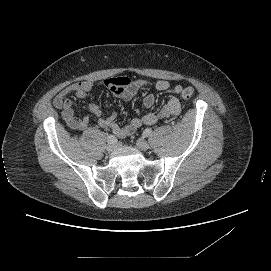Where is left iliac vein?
Returning <instances> with one entry per match:
<instances>
[{"mask_svg": "<svg viewBox=\"0 0 271 271\" xmlns=\"http://www.w3.org/2000/svg\"><path fill=\"white\" fill-rule=\"evenodd\" d=\"M136 145L137 147L142 150V151H146L149 149V144L147 141H145L144 139H141L139 138L137 141H136Z\"/></svg>", "mask_w": 271, "mask_h": 271, "instance_id": "obj_1", "label": "left iliac vein"}]
</instances>
